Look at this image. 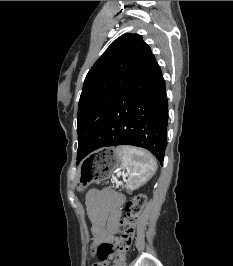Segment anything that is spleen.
<instances>
[{"label": "spleen", "instance_id": "3e777b00", "mask_svg": "<svg viewBox=\"0 0 233 266\" xmlns=\"http://www.w3.org/2000/svg\"><path fill=\"white\" fill-rule=\"evenodd\" d=\"M116 154L121 157V168L127 171L126 188L130 190L146 183L157 169L153 156L142 149L121 146L116 149Z\"/></svg>", "mask_w": 233, "mask_h": 266}]
</instances>
